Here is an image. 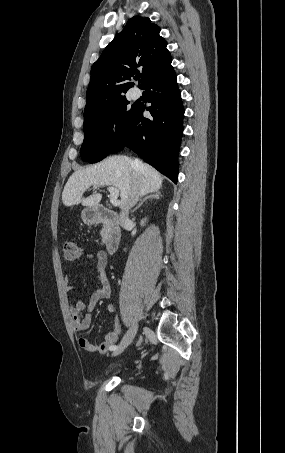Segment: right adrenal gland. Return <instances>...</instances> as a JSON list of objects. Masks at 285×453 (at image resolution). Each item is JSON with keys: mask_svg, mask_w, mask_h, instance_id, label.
Instances as JSON below:
<instances>
[{"mask_svg": "<svg viewBox=\"0 0 285 453\" xmlns=\"http://www.w3.org/2000/svg\"><path fill=\"white\" fill-rule=\"evenodd\" d=\"M160 196H161V194H160L158 191L153 192V193L147 195V196L141 201V203H140L136 208H134V209L132 210V213H134L137 209H139V208L143 205V203L146 202L147 200H149V199H159Z\"/></svg>", "mask_w": 285, "mask_h": 453, "instance_id": "1", "label": "right adrenal gland"}]
</instances>
